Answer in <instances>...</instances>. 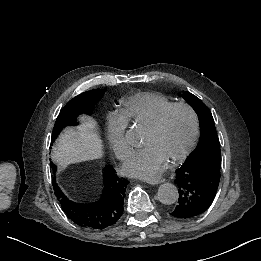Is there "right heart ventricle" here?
<instances>
[{"mask_svg":"<svg viewBox=\"0 0 261 261\" xmlns=\"http://www.w3.org/2000/svg\"><path fill=\"white\" fill-rule=\"evenodd\" d=\"M170 102H172V100L162 93H136L120 100V115L123 118H132L142 123V120L152 116L160 108Z\"/></svg>","mask_w":261,"mask_h":261,"instance_id":"1","label":"right heart ventricle"}]
</instances>
